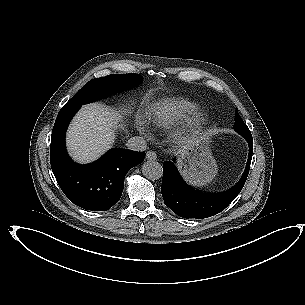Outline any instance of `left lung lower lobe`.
<instances>
[{
  "instance_id": "obj_1",
  "label": "left lung lower lobe",
  "mask_w": 305,
  "mask_h": 305,
  "mask_svg": "<svg viewBox=\"0 0 305 305\" xmlns=\"http://www.w3.org/2000/svg\"><path fill=\"white\" fill-rule=\"evenodd\" d=\"M244 137L249 143V147H252L253 140L250 137ZM240 190L232 196L229 203L212 205L208 200L215 194L199 192L188 187L172 162L166 161L163 165L161 192L164 203L175 214L183 218H206L216 215L232 202Z\"/></svg>"
}]
</instances>
